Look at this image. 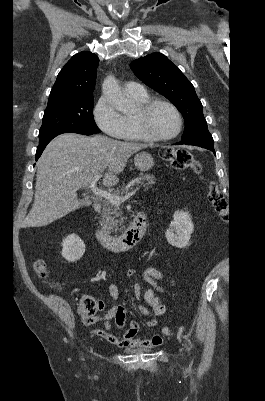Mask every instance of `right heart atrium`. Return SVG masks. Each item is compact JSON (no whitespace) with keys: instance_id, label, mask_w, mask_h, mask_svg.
<instances>
[{"instance_id":"1","label":"right heart atrium","mask_w":265,"mask_h":401,"mask_svg":"<svg viewBox=\"0 0 265 401\" xmlns=\"http://www.w3.org/2000/svg\"><path fill=\"white\" fill-rule=\"evenodd\" d=\"M93 119L107 135L118 137L125 129L123 116L106 96H101L93 109Z\"/></svg>"}]
</instances>
